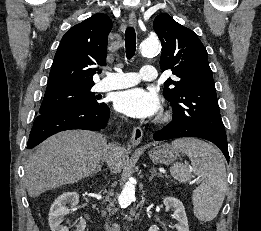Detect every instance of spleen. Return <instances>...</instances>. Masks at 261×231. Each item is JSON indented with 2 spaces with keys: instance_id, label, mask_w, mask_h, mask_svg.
<instances>
[{
  "instance_id": "spleen-1",
  "label": "spleen",
  "mask_w": 261,
  "mask_h": 231,
  "mask_svg": "<svg viewBox=\"0 0 261 231\" xmlns=\"http://www.w3.org/2000/svg\"><path fill=\"white\" fill-rule=\"evenodd\" d=\"M172 145L189 157L192 172L201 180L192 196L195 216L204 222L213 220L221 208L227 188L223 155L211 144L196 138L176 139ZM170 173L174 179L184 183L192 177L190 169L181 163L174 164Z\"/></svg>"
}]
</instances>
